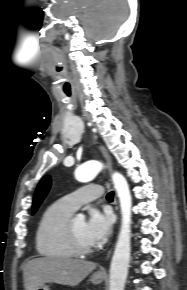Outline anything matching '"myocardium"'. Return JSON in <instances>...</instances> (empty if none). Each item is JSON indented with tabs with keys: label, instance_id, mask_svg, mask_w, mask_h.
I'll use <instances>...</instances> for the list:
<instances>
[{
	"label": "myocardium",
	"instance_id": "f54148a6",
	"mask_svg": "<svg viewBox=\"0 0 187 290\" xmlns=\"http://www.w3.org/2000/svg\"><path fill=\"white\" fill-rule=\"evenodd\" d=\"M72 221H73V217L71 216L66 221L65 228H64L65 237L70 248L76 255H87L89 253H92L94 251V247L84 245L83 243L80 242V240L78 239L74 231Z\"/></svg>",
	"mask_w": 187,
	"mask_h": 290
}]
</instances>
